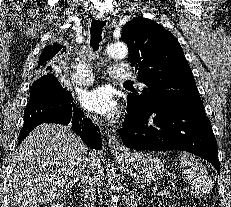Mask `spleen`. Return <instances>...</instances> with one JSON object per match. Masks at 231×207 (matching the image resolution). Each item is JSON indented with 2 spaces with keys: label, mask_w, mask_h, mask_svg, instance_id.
Segmentation results:
<instances>
[{
  "label": "spleen",
  "mask_w": 231,
  "mask_h": 207,
  "mask_svg": "<svg viewBox=\"0 0 231 207\" xmlns=\"http://www.w3.org/2000/svg\"><path fill=\"white\" fill-rule=\"evenodd\" d=\"M179 160L182 173L192 185V194L200 196L209 193L213 188V181L206 168L188 153H182Z\"/></svg>",
  "instance_id": "1"
}]
</instances>
